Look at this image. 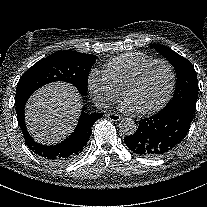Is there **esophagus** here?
<instances>
[{
	"label": "esophagus",
	"mask_w": 207,
	"mask_h": 207,
	"mask_svg": "<svg viewBox=\"0 0 207 207\" xmlns=\"http://www.w3.org/2000/svg\"><path fill=\"white\" fill-rule=\"evenodd\" d=\"M107 117L111 120V121H114V122H117L121 119L120 115H117L115 113H108L107 114Z\"/></svg>",
	"instance_id": "esophagus-1"
}]
</instances>
